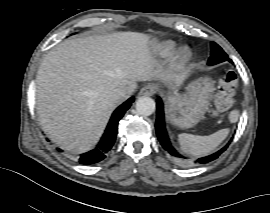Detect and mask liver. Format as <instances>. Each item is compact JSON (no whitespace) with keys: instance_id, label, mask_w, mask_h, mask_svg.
Returning <instances> with one entry per match:
<instances>
[{"instance_id":"obj_1","label":"liver","mask_w":270,"mask_h":213,"mask_svg":"<svg viewBox=\"0 0 270 213\" xmlns=\"http://www.w3.org/2000/svg\"><path fill=\"white\" fill-rule=\"evenodd\" d=\"M148 35L115 32L66 40L51 49L36 78L37 113L50 139L74 153L91 150L120 101L110 93L137 81L162 80L180 85L182 77L157 66Z\"/></svg>"}]
</instances>
